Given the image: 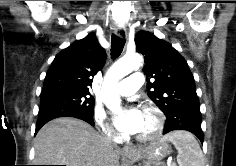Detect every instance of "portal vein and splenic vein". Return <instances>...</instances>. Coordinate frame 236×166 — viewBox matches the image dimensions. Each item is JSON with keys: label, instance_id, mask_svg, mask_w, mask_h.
<instances>
[{"label": "portal vein and splenic vein", "instance_id": "obj_1", "mask_svg": "<svg viewBox=\"0 0 236 166\" xmlns=\"http://www.w3.org/2000/svg\"><path fill=\"white\" fill-rule=\"evenodd\" d=\"M169 166H176V164L175 163H171Z\"/></svg>", "mask_w": 236, "mask_h": 166}]
</instances>
